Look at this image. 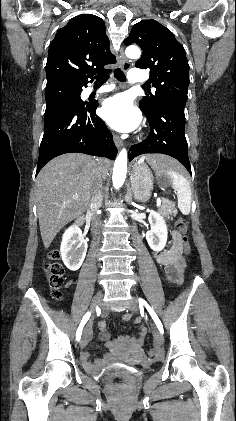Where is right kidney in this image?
Here are the masks:
<instances>
[{"label": "right kidney", "instance_id": "ca27d5eb", "mask_svg": "<svg viewBox=\"0 0 236 421\" xmlns=\"http://www.w3.org/2000/svg\"><path fill=\"white\" fill-rule=\"evenodd\" d=\"M87 241H85L79 227H69L62 237L60 253L62 261L70 271L80 269L87 253Z\"/></svg>", "mask_w": 236, "mask_h": 421}]
</instances>
